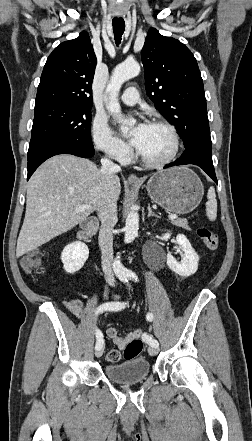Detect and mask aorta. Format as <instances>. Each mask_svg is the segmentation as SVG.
<instances>
[{"instance_id": "obj_1", "label": "aorta", "mask_w": 252, "mask_h": 441, "mask_svg": "<svg viewBox=\"0 0 252 441\" xmlns=\"http://www.w3.org/2000/svg\"><path fill=\"white\" fill-rule=\"evenodd\" d=\"M139 73L140 65L136 61H125L114 69L106 88V91L109 93V102L107 103V110L109 112L113 114L121 113V107L118 101L120 88L124 82L137 76ZM129 125H132V123L123 124L121 131L127 133L129 131ZM138 229L139 215L135 207H132V210L128 213L126 218L124 242H132L138 234ZM113 269L119 277H126L128 275V270L121 263L119 256L113 261Z\"/></svg>"}]
</instances>
